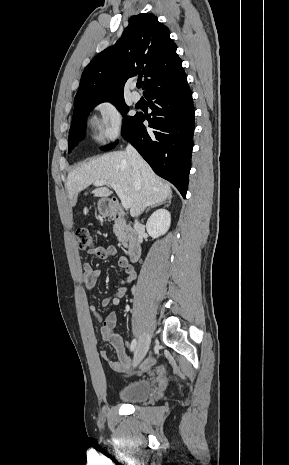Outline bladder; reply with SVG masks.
<instances>
[{"label":"bladder","instance_id":"1","mask_svg":"<svg viewBox=\"0 0 289 465\" xmlns=\"http://www.w3.org/2000/svg\"><path fill=\"white\" fill-rule=\"evenodd\" d=\"M152 383L148 379H138L125 385L118 393L119 398L127 403H140L149 398Z\"/></svg>","mask_w":289,"mask_h":465}]
</instances>
